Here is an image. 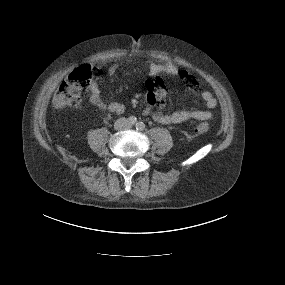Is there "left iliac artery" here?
I'll return each instance as SVG.
<instances>
[{
  "label": "left iliac artery",
  "mask_w": 285,
  "mask_h": 285,
  "mask_svg": "<svg viewBox=\"0 0 285 285\" xmlns=\"http://www.w3.org/2000/svg\"><path fill=\"white\" fill-rule=\"evenodd\" d=\"M136 129L140 130V131L144 130L145 129V124L143 122H138L136 124Z\"/></svg>",
  "instance_id": "44dca946"
}]
</instances>
